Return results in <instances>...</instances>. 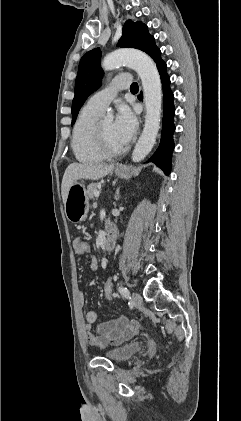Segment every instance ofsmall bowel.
I'll list each match as a JSON object with an SVG mask.
<instances>
[{
	"mask_svg": "<svg viewBox=\"0 0 241 421\" xmlns=\"http://www.w3.org/2000/svg\"><path fill=\"white\" fill-rule=\"evenodd\" d=\"M80 239L76 238L73 242L74 249ZM90 270L95 271L98 268V260L96 257H91ZM79 300L84 302V294L79 293ZM97 320V313L94 310H89L85 314V329L87 330V340L90 345L103 349L110 344L117 345L129 338H131L140 328V325L135 320H129L124 315H118L115 319L101 323L96 330H93V325Z\"/></svg>",
	"mask_w": 241,
	"mask_h": 421,
	"instance_id": "small-bowel-1",
	"label": "small bowel"
}]
</instances>
